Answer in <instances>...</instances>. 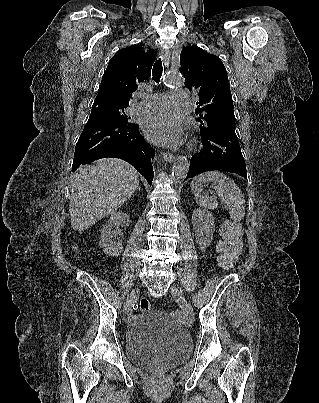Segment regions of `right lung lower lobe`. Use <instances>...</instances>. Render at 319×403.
<instances>
[{
    "instance_id": "obj_1",
    "label": "right lung lower lobe",
    "mask_w": 319,
    "mask_h": 403,
    "mask_svg": "<svg viewBox=\"0 0 319 403\" xmlns=\"http://www.w3.org/2000/svg\"><path fill=\"white\" fill-rule=\"evenodd\" d=\"M138 128L130 122L88 121L76 144L72 171L99 158H120L134 166L150 184L154 176L151 160L155 151Z\"/></svg>"
}]
</instances>
